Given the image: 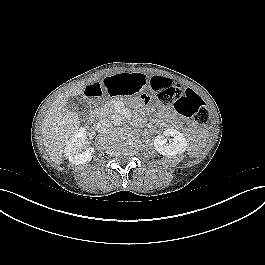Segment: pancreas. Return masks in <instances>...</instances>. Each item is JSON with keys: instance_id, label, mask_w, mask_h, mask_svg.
Segmentation results:
<instances>
[{"instance_id": "cf45deb5", "label": "pancreas", "mask_w": 265, "mask_h": 265, "mask_svg": "<svg viewBox=\"0 0 265 265\" xmlns=\"http://www.w3.org/2000/svg\"><path fill=\"white\" fill-rule=\"evenodd\" d=\"M96 114H98L101 117H107L111 113H113V105L110 102H107L103 105H101L99 108L95 110Z\"/></svg>"}]
</instances>
